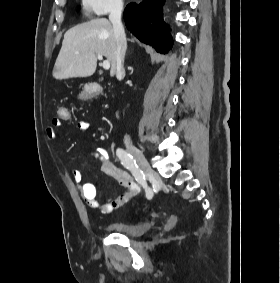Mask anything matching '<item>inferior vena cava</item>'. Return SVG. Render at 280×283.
<instances>
[{
	"mask_svg": "<svg viewBox=\"0 0 280 283\" xmlns=\"http://www.w3.org/2000/svg\"><path fill=\"white\" fill-rule=\"evenodd\" d=\"M123 11V4L119 3L115 5L109 15V20L111 21L114 33L117 41V54H116V75L117 77L125 76L124 69V57L127 49L126 35L121 22V15ZM124 142L130 144L131 140L128 135L124 137Z\"/></svg>",
	"mask_w": 280,
	"mask_h": 283,
	"instance_id": "obj_1",
	"label": "inferior vena cava"
}]
</instances>
